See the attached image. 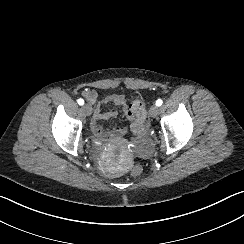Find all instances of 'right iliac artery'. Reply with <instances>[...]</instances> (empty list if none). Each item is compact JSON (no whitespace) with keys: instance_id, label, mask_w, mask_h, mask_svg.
<instances>
[{"instance_id":"1","label":"right iliac artery","mask_w":244,"mask_h":244,"mask_svg":"<svg viewBox=\"0 0 244 244\" xmlns=\"http://www.w3.org/2000/svg\"><path fill=\"white\" fill-rule=\"evenodd\" d=\"M77 102H78V104H79V105H83V104H84V100H83V99H81V98H80V99H78V101H77Z\"/></svg>"}]
</instances>
